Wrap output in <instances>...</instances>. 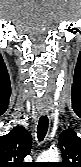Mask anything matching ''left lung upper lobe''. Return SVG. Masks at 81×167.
Returning <instances> with one entry per match:
<instances>
[{"instance_id":"obj_1","label":"left lung upper lobe","mask_w":81,"mask_h":167,"mask_svg":"<svg viewBox=\"0 0 81 167\" xmlns=\"http://www.w3.org/2000/svg\"><path fill=\"white\" fill-rule=\"evenodd\" d=\"M63 162L57 167H81V138L71 130H64L59 139Z\"/></svg>"}]
</instances>
